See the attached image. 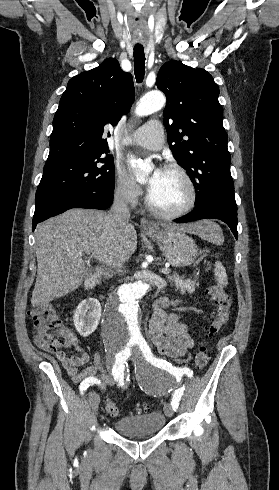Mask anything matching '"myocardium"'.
Returning <instances> with one entry per match:
<instances>
[{
    "label": "myocardium",
    "mask_w": 279,
    "mask_h": 490,
    "mask_svg": "<svg viewBox=\"0 0 279 490\" xmlns=\"http://www.w3.org/2000/svg\"><path fill=\"white\" fill-rule=\"evenodd\" d=\"M165 170L176 173L184 180L189 194L187 200L176 210H166L157 206L152 201L151 197L148 198L147 205L154 215L163 219H175L185 215L195 206L197 201V189L191 176L182 166L178 164H168L165 167Z\"/></svg>",
    "instance_id": "1"
}]
</instances>
